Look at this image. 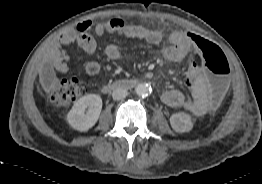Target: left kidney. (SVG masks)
Instances as JSON below:
<instances>
[{
    "label": "left kidney",
    "mask_w": 262,
    "mask_h": 184,
    "mask_svg": "<svg viewBox=\"0 0 262 184\" xmlns=\"http://www.w3.org/2000/svg\"><path fill=\"white\" fill-rule=\"evenodd\" d=\"M170 124L173 130L178 133L189 132L193 128L191 116L184 112L172 114Z\"/></svg>",
    "instance_id": "left-kidney-1"
}]
</instances>
